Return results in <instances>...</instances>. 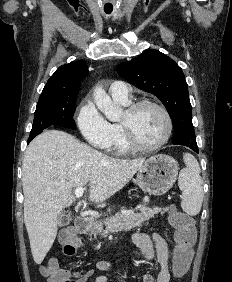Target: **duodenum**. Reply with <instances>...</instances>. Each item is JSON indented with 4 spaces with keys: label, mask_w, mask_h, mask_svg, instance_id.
Wrapping results in <instances>:
<instances>
[{
    "label": "duodenum",
    "mask_w": 232,
    "mask_h": 282,
    "mask_svg": "<svg viewBox=\"0 0 232 282\" xmlns=\"http://www.w3.org/2000/svg\"><path fill=\"white\" fill-rule=\"evenodd\" d=\"M75 228L81 233H87L90 230V221L85 216H78L75 220Z\"/></svg>",
    "instance_id": "obj_1"
}]
</instances>
